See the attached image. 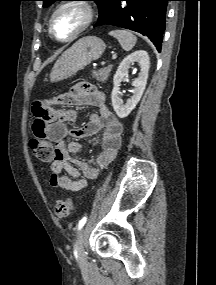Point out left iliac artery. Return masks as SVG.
<instances>
[{"label":"left iliac artery","mask_w":216,"mask_h":285,"mask_svg":"<svg viewBox=\"0 0 216 285\" xmlns=\"http://www.w3.org/2000/svg\"><path fill=\"white\" fill-rule=\"evenodd\" d=\"M87 221V217H83L80 221H79V224H78V230H80L84 224L86 223Z\"/></svg>","instance_id":"1"}]
</instances>
